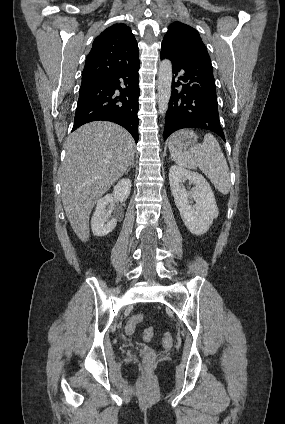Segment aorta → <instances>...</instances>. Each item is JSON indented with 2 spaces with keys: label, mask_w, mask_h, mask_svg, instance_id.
I'll return each instance as SVG.
<instances>
[{
  "label": "aorta",
  "mask_w": 285,
  "mask_h": 424,
  "mask_svg": "<svg viewBox=\"0 0 285 424\" xmlns=\"http://www.w3.org/2000/svg\"><path fill=\"white\" fill-rule=\"evenodd\" d=\"M172 85V64L168 59H164L159 64L158 71V111L164 115L168 109L171 97Z\"/></svg>",
  "instance_id": "obj_1"
}]
</instances>
